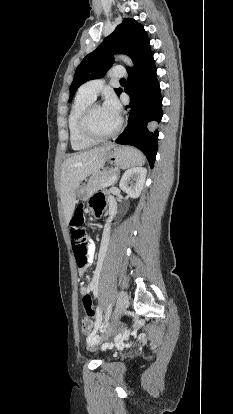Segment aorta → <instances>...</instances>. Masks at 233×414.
<instances>
[{"label":"aorta","mask_w":233,"mask_h":414,"mask_svg":"<svg viewBox=\"0 0 233 414\" xmlns=\"http://www.w3.org/2000/svg\"><path fill=\"white\" fill-rule=\"evenodd\" d=\"M116 59L123 61L126 65H128L130 67L133 66L132 60L126 55H117Z\"/></svg>","instance_id":"aorta-1"}]
</instances>
